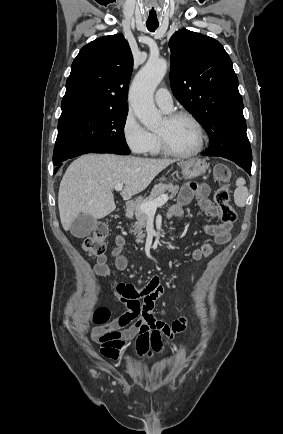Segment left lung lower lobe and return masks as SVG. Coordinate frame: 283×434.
<instances>
[{"label":"left lung lower lobe","instance_id":"1","mask_svg":"<svg viewBox=\"0 0 283 434\" xmlns=\"http://www.w3.org/2000/svg\"><path fill=\"white\" fill-rule=\"evenodd\" d=\"M203 155L204 156H210V155H207L206 153H204ZM251 163H252V160H246V161L239 162V164H237V165L242 167L248 174L251 175Z\"/></svg>","mask_w":283,"mask_h":434}]
</instances>
